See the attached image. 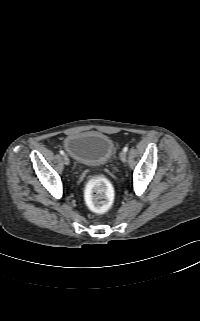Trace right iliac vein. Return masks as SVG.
<instances>
[{
  "mask_svg": "<svg viewBox=\"0 0 200 321\" xmlns=\"http://www.w3.org/2000/svg\"><path fill=\"white\" fill-rule=\"evenodd\" d=\"M63 161H64V164L68 165L69 164V158L67 155H64L63 156Z\"/></svg>",
  "mask_w": 200,
  "mask_h": 321,
  "instance_id": "obj_1",
  "label": "right iliac vein"
}]
</instances>
